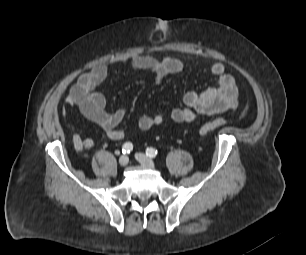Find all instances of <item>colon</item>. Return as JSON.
<instances>
[{"mask_svg":"<svg viewBox=\"0 0 306 255\" xmlns=\"http://www.w3.org/2000/svg\"><path fill=\"white\" fill-rule=\"evenodd\" d=\"M226 124V121L224 119L218 118L215 120L207 121L204 122L200 127H199V134L200 135H206ZM74 145L78 150L83 149L84 144L80 139H75Z\"/></svg>","mask_w":306,"mask_h":255,"instance_id":"1","label":"colon"}]
</instances>
